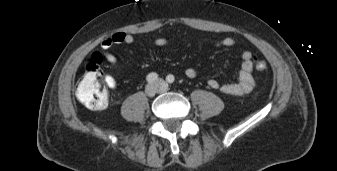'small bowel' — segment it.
Instances as JSON below:
<instances>
[{
    "label": "small bowel",
    "instance_id": "c3829d8e",
    "mask_svg": "<svg viewBox=\"0 0 337 171\" xmlns=\"http://www.w3.org/2000/svg\"><path fill=\"white\" fill-rule=\"evenodd\" d=\"M134 37L127 32H116L113 35L106 37L102 40L100 49L105 57V60L112 67H118L119 62L115 55L109 52V49L114 45L120 44H132ZM169 44L167 38L159 37L153 40V45L157 47H165ZM236 44L235 40L231 37L223 38L217 41V47H233ZM241 66L238 72L237 81L233 83L220 84L215 78L208 79L207 83L210 88L220 90L222 93L231 96H242L250 93L255 85V79L253 76V63L252 53L250 51H244L241 54ZM186 77L192 79L197 75L196 69L189 67L185 70ZM106 85L114 89L117 85L115 78L111 75H106L104 78Z\"/></svg>",
    "mask_w": 337,
    "mask_h": 171
}]
</instances>
